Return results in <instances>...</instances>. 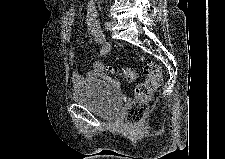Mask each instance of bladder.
Returning a JSON list of instances; mask_svg holds the SVG:
<instances>
[{"label":"bladder","instance_id":"obj_1","mask_svg":"<svg viewBox=\"0 0 225 159\" xmlns=\"http://www.w3.org/2000/svg\"><path fill=\"white\" fill-rule=\"evenodd\" d=\"M72 98L76 104L106 120L118 117L123 102L118 89L103 80H93L76 87Z\"/></svg>","mask_w":225,"mask_h":159}]
</instances>
